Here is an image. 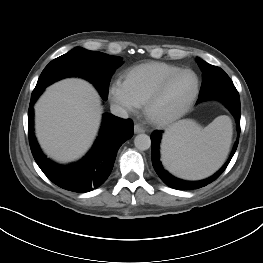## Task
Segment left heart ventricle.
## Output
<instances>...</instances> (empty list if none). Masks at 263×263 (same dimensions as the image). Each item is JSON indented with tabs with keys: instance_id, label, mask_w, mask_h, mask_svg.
Returning a JSON list of instances; mask_svg holds the SVG:
<instances>
[{
	"instance_id": "left-heart-ventricle-1",
	"label": "left heart ventricle",
	"mask_w": 263,
	"mask_h": 263,
	"mask_svg": "<svg viewBox=\"0 0 263 263\" xmlns=\"http://www.w3.org/2000/svg\"><path fill=\"white\" fill-rule=\"evenodd\" d=\"M196 84L195 76L185 72L174 78L165 92L155 104L154 113L165 116L174 113L181 108L194 91Z\"/></svg>"
}]
</instances>
